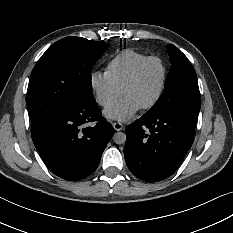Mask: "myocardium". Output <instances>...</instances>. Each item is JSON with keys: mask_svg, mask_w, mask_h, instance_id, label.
Masks as SVG:
<instances>
[{"mask_svg": "<svg viewBox=\"0 0 233 233\" xmlns=\"http://www.w3.org/2000/svg\"><path fill=\"white\" fill-rule=\"evenodd\" d=\"M153 60H158L163 68V78H162V82L159 88V91L156 95V97L147 105L141 107L142 110L144 111H148L153 109L154 107H156L158 105V103L161 101L165 90H166V86H167V82H168V77H169V71H168V66L165 62V60L158 56V55H151V56H147L144 60H142L135 68L134 70L130 73V75L127 77V79L124 81V83L121 86V94L127 89L129 88L131 85H133L135 83V81L138 79L140 73L142 72V70L145 68V66L153 61Z\"/></svg>", "mask_w": 233, "mask_h": 233, "instance_id": "obj_1", "label": "myocardium"}]
</instances>
